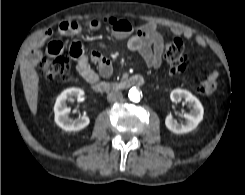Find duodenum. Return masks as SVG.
I'll return each mask as SVG.
<instances>
[{"label":"duodenum","mask_w":245,"mask_h":195,"mask_svg":"<svg viewBox=\"0 0 245 195\" xmlns=\"http://www.w3.org/2000/svg\"><path fill=\"white\" fill-rule=\"evenodd\" d=\"M144 82V77L138 74L118 82L95 81L92 83V88L96 92H110L128 89L131 87H139L142 86Z\"/></svg>","instance_id":"obj_1"}]
</instances>
